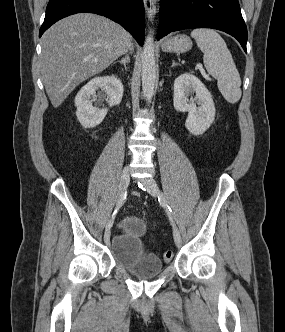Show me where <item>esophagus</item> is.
<instances>
[{
  "instance_id": "34e87169",
  "label": "esophagus",
  "mask_w": 285,
  "mask_h": 332,
  "mask_svg": "<svg viewBox=\"0 0 285 332\" xmlns=\"http://www.w3.org/2000/svg\"><path fill=\"white\" fill-rule=\"evenodd\" d=\"M146 14L150 20H153L156 14L155 0H143Z\"/></svg>"
}]
</instances>
